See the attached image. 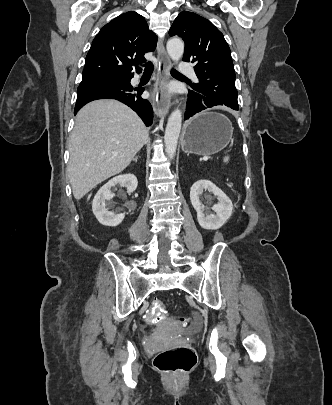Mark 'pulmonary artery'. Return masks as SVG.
I'll list each match as a JSON object with an SVG mask.
<instances>
[{
  "label": "pulmonary artery",
  "instance_id": "1",
  "mask_svg": "<svg viewBox=\"0 0 332 405\" xmlns=\"http://www.w3.org/2000/svg\"><path fill=\"white\" fill-rule=\"evenodd\" d=\"M179 70H180L182 75H187V76H190V77H192L194 79L196 78V75L194 73L193 68L190 65L186 64V63H181L180 67H179Z\"/></svg>",
  "mask_w": 332,
  "mask_h": 405
}]
</instances>
